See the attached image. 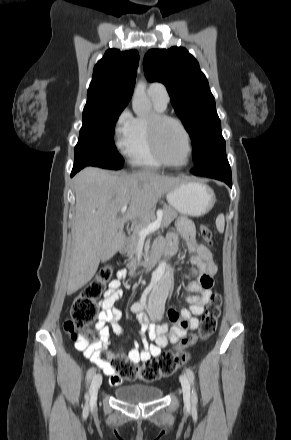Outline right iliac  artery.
Wrapping results in <instances>:
<instances>
[{"label": "right iliac artery", "instance_id": "1", "mask_svg": "<svg viewBox=\"0 0 291 440\" xmlns=\"http://www.w3.org/2000/svg\"><path fill=\"white\" fill-rule=\"evenodd\" d=\"M137 307H136V305L134 304V305H132V307H131V311L132 312H136L137 311ZM95 371H96V369L94 368V367H91L89 370H88V372H87V382H89L90 380H91V378L93 377V375L95 374ZM88 397V395L86 394V398ZM88 405L86 404L85 405V408H84V412L86 413V414H88Z\"/></svg>", "mask_w": 291, "mask_h": 440}]
</instances>
